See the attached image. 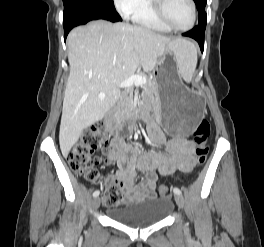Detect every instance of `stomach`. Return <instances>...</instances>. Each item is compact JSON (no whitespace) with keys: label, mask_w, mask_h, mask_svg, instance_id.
I'll list each match as a JSON object with an SVG mask.
<instances>
[{"label":"stomach","mask_w":264,"mask_h":247,"mask_svg":"<svg viewBox=\"0 0 264 247\" xmlns=\"http://www.w3.org/2000/svg\"><path fill=\"white\" fill-rule=\"evenodd\" d=\"M173 51L172 44L168 46ZM177 57L164 53L156 68V83L158 97L162 108V123L170 136H192L196 124L204 118L205 94H190V90L180 81L178 75Z\"/></svg>","instance_id":"obj_1"}]
</instances>
